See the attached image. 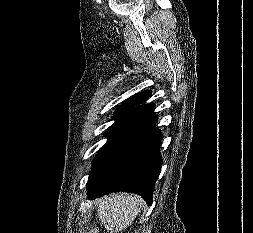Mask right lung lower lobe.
<instances>
[{"label":"right lung lower lobe","instance_id":"right-lung-lower-lobe-1","mask_svg":"<svg viewBox=\"0 0 253 233\" xmlns=\"http://www.w3.org/2000/svg\"><path fill=\"white\" fill-rule=\"evenodd\" d=\"M140 104L96 155L87 183L88 198L125 191L152 203L155 181L162 166L159 151L162 134L154 128L158 117L154 104Z\"/></svg>","mask_w":253,"mask_h":233}]
</instances>
